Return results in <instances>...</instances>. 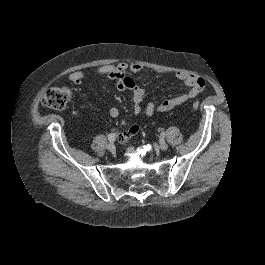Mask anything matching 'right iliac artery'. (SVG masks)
<instances>
[{"label": "right iliac artery", "mask_w": 265, "mask_h": 265, "mask_svg": "<svg viewBox=\"0 0 265 265\" xmlns=\"http://www.w3.org/2000/svg\"><path fill=\"white\" fill-rule=\"evenodd\" d=\"M115 139H116V134L115 133H111V134L108 135V140L110 142L115 141Z\"/></svg>", "instance_id": "1"}]
</instances>
